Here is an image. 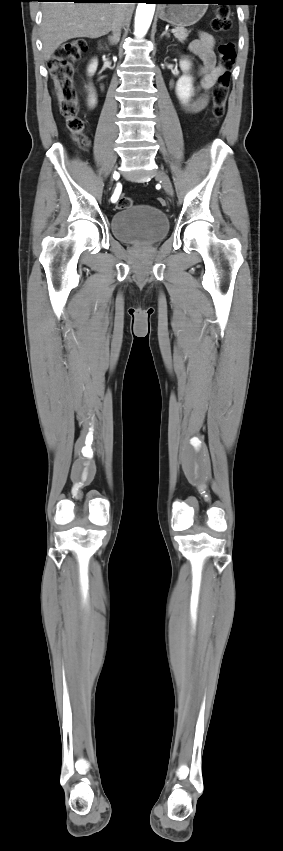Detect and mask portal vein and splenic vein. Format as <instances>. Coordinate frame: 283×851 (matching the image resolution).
I'll return each mask as SVG.
<instances>
[{"mask_svg": "<svg viewBox=\"0 0 283 851\" xmlns=\"http://www.w3.org/2000/svg\"><path fill=\"white\" fill-rule=\"evenodd\" d=\"M175 31H176L175 29H172V30H171V32H172V33H173V32H175Z\"/></svg>", "mask_w": 283, "mask_h": 851, "instance_id": "1", "label": "portal vein and splenic vein"}]
</instances>
